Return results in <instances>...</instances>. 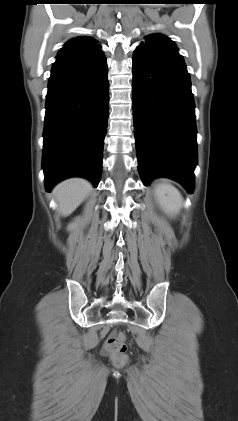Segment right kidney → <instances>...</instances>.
Instances as JSON below:
<instances>
[{"instance_id":"right-kidney-1","label":"right kidney","mask_w":238,"mask_h":421,"mask_svg":"<svg viewBox=\"0 0 238 421\" xmlns=\"http://www.w3.org/2000/svg\"><path fill=\"white\" fill-rule=\"evenodd\" d=\"M74 224L69 225V229L73 228Z\"/></svg>"}]
</instances>
